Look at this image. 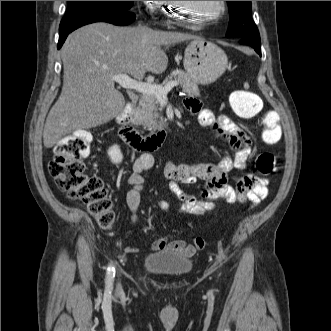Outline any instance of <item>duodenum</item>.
<instances>
[{
  "mask_svg": "<svg viewBox=\"0 0 331 331\" xmlns=\"http://www.w3.org/2000/svg\"><path fill=\"white\" fill-rule=\"evenodd\" d=\"M135 101L130 100L117 116L118 134L120 138L134 151L153 150L161 146L166 138V128L162 127L149 136L141 135L132 123L131 117Z\"/></svg>",
  "mask_w": 331,
  "mask_h": 331,
  "instance_id": "duodenum-1",
  "label": "duodenum"
}]
</instances>
